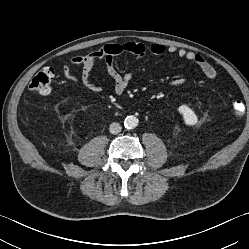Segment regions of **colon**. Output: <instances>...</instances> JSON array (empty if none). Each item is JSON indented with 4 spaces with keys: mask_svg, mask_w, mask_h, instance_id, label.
I'll use <instances>...</instances> for the list:
<instances>
[{
    "mask_svg": "<svg viewBox=\"0 0 249 249\" xmlns=\"http://www.w3.org/2000/svg\"><path fill=\"white\" fill-rule=\"evenodd\" d=\"M55 77L54 69L50 67L43 68L31 80L29 88L32 92L39 95H47L51 91L52 82ZM234 114L240 115L244 111V105L236 100L232 104Z\"/></svg>",
    "mask_w": 249,
    "mask_h": 249,
    "instance_id": "colon-1",
    "label": "colon"
}]
</instances>
